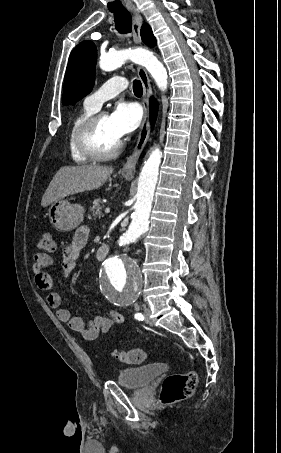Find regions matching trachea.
I'll list each match as a JSON object with an SVG mask.
<instances>
[{"label": "trachea", "mask_w": 281, "mask_h": 453, "mask_svg": "<svg viewBox=\"0 0 281 453\" xmlns=\"http://www.w3.org/2000/svg\"><path fill=\"white\" fill-rule=\"evenodd\" d=\"M116 30L119 33H130L132 31V18L129 12H114ZM142 84L139 80L133 83V91L136 96H142Z\"/></svg>", "instance_id": "1"}]
</instances>
